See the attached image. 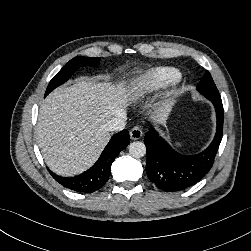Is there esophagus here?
<instances>
[{"instance_id": "obj_1", "label": "esophagus", "mask_w": 251, "mask_h": 251, "mask_svg": "<svg viewBox=\"0 0 251 251\" xmlns=\"http://www.w3.org/2000/svg\"><path fill=\"white\" fill-rule=\"evenodd\" d=\"M143 132L142 129L139 126H134L131 130H130V138L133 140H138L142 137Z\"/></svg>"}]
</instances>
